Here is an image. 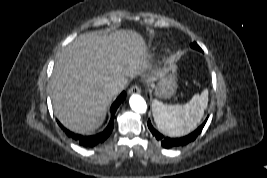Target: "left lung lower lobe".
Returning a JSON list of instances; mask_svg holds the SVG:
<instances>
[{
    "instance_id": "1",
    "label": "left lung lower lobe",
    "mask_w": 267,
    "mask_h": 178,
    "mask_svg": "<svg viewBox=\"0 0 267 178\" xmlns=\"http://www.w3.org/2000/svg\"><path fill=\"white\" fill-rule=\"evenodd\" d=\"M207 119L200 125L195 131L188 134L187 136L180 137V138H170L163 136L161 133H159L151 124L150 121H148V128L151 131L152 135L161 142V145L167 149L169 148H175V147H181L184 145H187L188 143L194 141L197 136L201 133L203 127L205 126Z\"/></svg>"
}]
</instances>
